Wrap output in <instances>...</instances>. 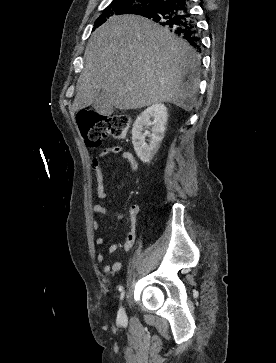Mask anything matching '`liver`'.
I'll use <instances>...</instances> for the list:
<instances>
[{
    "mask_svg": "<svg viewBox=\"0 0 276 363\" xmlns=\"http://www.w3.org/2000/svg\"><path fill=\"white\" fill-rule=\"evenodd\" d=\"M84 59L74 111L93 104L101 91L120 110L163 102L193 108L200 60L186 41L151 20L110 18L90 37Z\"/></svg>",
    "mask_w": 276,
    "mask_h": 363,
    "instance_id": "liver-1",
    "label": "liver"
}]
</instances>
